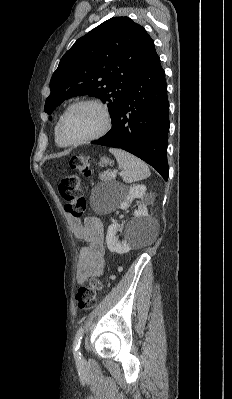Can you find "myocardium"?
Masks as SVG:
<instances>
[{
	"label": "myocardium",
	"mask_w": 232,
	"mask_h": 399,
	"mask_svg": "<svg viewBox=\"0 0 232 399\" xmlns=\"http://www.w3.org/2000/svg\"><path fill=\"white\" fill-rule=\"evenodd\" d=\"M79 105H93V106L98 107L103 114L104 123H103L102 128L97 133H95L87 138H84V139L73 140V139L69 138L64 131V121H65V118L68 115V113L74 107L79 106ZM111 127H112V116H111V113H110L108 107L105 104H103L99 101H95V100H80V101L72 103L64 110V112L62 113V115L59 119L58 131H59L61 138L69 145H81V144L89 143V142H92V141L102 138L110 131Z\"/></svg>",
	"instance_id": "obj_1"
}]
</instances>
